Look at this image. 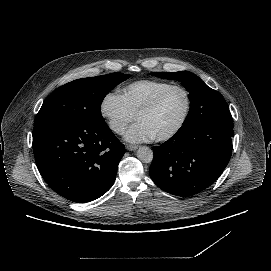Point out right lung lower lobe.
I'll return each mask as SVG.
<instances>
[{
  "instance_id": "1",
  "label": "right lung lower lobe",
  "mask_w": 271,
  "mask_h": 271,
  "mask_svg": "<svg viewBox=\"0 0 271 271\" xmlns=\"http://www.w3.org/2000/svg\"><path fill=\"white\" fill-rule=\"evenodd\" d=\"M33 151L45 182L62 197L83 203L111 188L125 147L105 121L48 120L34 125Z\"/></svg>"
}]
</instances>
